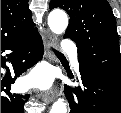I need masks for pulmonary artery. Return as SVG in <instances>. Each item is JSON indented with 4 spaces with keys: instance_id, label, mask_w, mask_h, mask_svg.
<instances>
[{
    "instance_id": "e3ab8cb5",
    "label": "pulmonary artery",
    "mask_w": 121,
    "mask_h": 113,
    "mask_svg": "<svg viewBox=\"0 0 121 113\" xmlns=\"http://www.w3.org/2000/svg\"><path fill=\"white\" fill-rule=\"evenodd\" d=\"M65 48L71 53V56L73 58V67H74L75 71L78 72L79 71V65H78V61H77L76 46L71 41H67L66 44H65Z\"/></svg>"
}]
</instances>
